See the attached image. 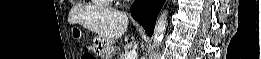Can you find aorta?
Masks as SVG:
<instances>
[{
  "mask_svg": "<svg viewBox=\"0 0 261 59\" xmlns=\"http://www.w3.org/2000/svg\"><path fill=\"white\" fill-rule=\"evenodd\" d=\"M167 17H168V11L165 10L159 15V17L157 19V23H156L154 34H153V47L155 49L159 48V46L161 45V43L164 39V35L166 32V27H167V23H168Z\"/></svg>",
  "mask_w": 261,
  "mask_h": 59,
  "instance_id": "1",
  "label": "aorta"
}]
</instances>
